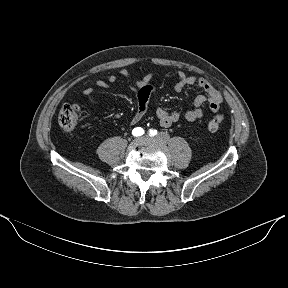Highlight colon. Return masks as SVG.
<instances>
[{"label": "colon", "mask_w": 288, "mask_h": 288, "mask_svg": "<svg viewBox=\"0 0 288 288\" xmlns=\"http://www.w3.org/2000/svg\"><path fill=\"white\" fill-rule=\"evenodd\" d=\"M80 108L76 104H64L58 114V124L66 132L73 131L79 121ZM224 121V116L222 114H217L208 123V130L210 132H215L218 130L222 122Z\"/></svg>", "instance_id": "1"}]
</instances>
